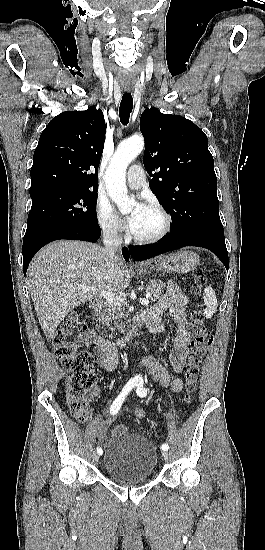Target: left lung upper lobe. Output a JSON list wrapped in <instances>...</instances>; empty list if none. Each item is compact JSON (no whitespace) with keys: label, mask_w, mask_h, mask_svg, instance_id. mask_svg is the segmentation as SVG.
<instances>
[{"label":"left lung upper lobe","mask_w":265,"mask_h":550,"mask_svg":"<svg viewBox=\"0 0 265 550\" xmlns=\"http://www.w3.org/2000/svg\"><path fill=\"white\" fill-rule=\"evenodd\" d=\"M140 129L150 189L172 218L169 234L202 231L224 238L214 160L204 132L154 107L142 113Z\"/></svg>","instance_id":"left-lung-upper-lobe-1"}]
</instances>
